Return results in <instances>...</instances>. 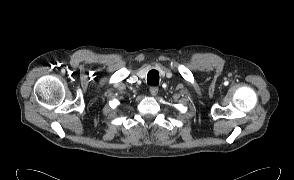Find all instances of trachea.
I'll list each match as a JSON object with an SVG mask.
<instances>
[{"label":"trachea","mask_w":294,"mask_h":180,"mask_svg":"<svg viewBox=\"0 0 294 180\" xmlns=\"http://www.w3.org/2000/svg\"><path fill=\"white\" fill-rule=\"evenodd\" d=\"M147 83L151 86H157L159 84V73L156 70L149 71L147 75Z\"/></svg>","instance_id":"1"}]
</instances>
